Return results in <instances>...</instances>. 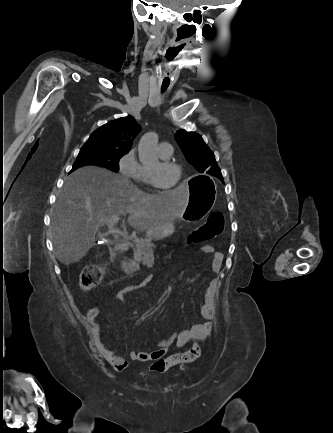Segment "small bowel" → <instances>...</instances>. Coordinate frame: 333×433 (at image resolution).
I'll list each match as a JSON object with an SVG mask.
<instances>
[{
	"mask_svg": "<svg viewBox=\"0 0 333 433\" xmlns=\"http://www.w3.org/2000/svg\"><path fill=\"white\" fill-rule=\"evenodd\" d=\"M201 250L205 253L213 255L212 271L218 272L223 260V254L211 245H204ZM153 280L152 275H148L140 284L136 286L125 287L115 294V299L124 301L127 295L134 290L147 286ZM199 314L204 320L201 323L191 325L190 327L181 331L171 333L164 340L156 345V348L151 351L135 352L130 351L128 358L133 361L149 362L153 365L155 362L164 359V355L171 347H183L190 340H203L208 337L212 330V319L215 316V291L210 287H206L203 299L198 303ZM99 310L91 308L85 314V320L89 325L93 342L99 353L106 359V361L116 370H123L127 366V359L113 351L103 341L101 326L98 321ZM150 365V366H151Z\"/></svg>",
	"mask_w": 333,
	"mask_h": 433,
	"instance_id": "obj_1",
	"label": "small bowel"
}]
</instances>
